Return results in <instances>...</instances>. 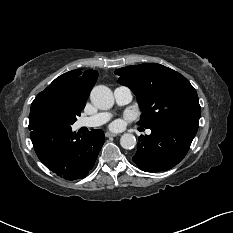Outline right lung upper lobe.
Listing matches in <instances>:
<instances>
[{
	"label": "right lung upper lobe",
	"instance_id": "1",
	"mask_svg": "<svg viewBox=\"0 0 233 233\" xmlns=\"http://www.w3.org/2000/svg\"><path fill=\"white\" fill-rule=\"evenodd\" d=\"M97 78L98 73L94 70H88L84 73L80 70L69 71L57 77L51 85L39 94H56L84 108Z\"/></svg>",
	"mask_w": 233,
	"mask_h": 233
}]
</instances>
